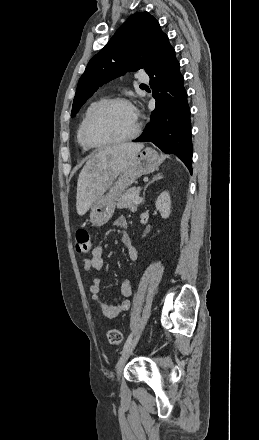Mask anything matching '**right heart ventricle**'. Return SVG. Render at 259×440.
Segmentation results:
<instances>
[{
  "instance_id": "1",
  "label": "right heart ventricle",
  "mask_w": 259,
  "mask_h": 440,
  "mask_svg": "<svg viewBox=\"0 0 259 440\" xmlns=\"http://www.w3.org/2000/svg\"><path fill=\"white\" fill-rule=\"evenodd\" d=\"M102 101V99H95V100H93V101H91L88 105H87V107L85 108V110H84V112H83V115H82V117H81V120H80V122H79V124H78V127H77V131H76V139H77V142H78V144L81 146V148L83 149V151H90L91 150V148H89L88 146H86L85 145V143H84V141H83V139H82V133H81V131H82V125H83V122H84V120H85V118H86V116L88 115V113L92 110V108L94 107V106H96L99 102H101Z\"/></svg>"
}]
</instances>
